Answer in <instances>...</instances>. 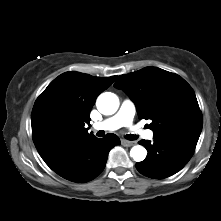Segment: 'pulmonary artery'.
Segmentation results:
<instances>
[{"label":"pulmonary artery","mask_w":221,"mask_h":221,"mask_svg":"<svg viewBox=\"0 0 221 221\" xmlns=\"http://www.w3.org/2000/svg\"><path fill=\"white\" fill-rule=\"evenodd\" d=\"M135 111L134 103L131 100L126 99L122 102L119 111L114 116L102 122L95 123L93 127L96 130H116L121 127H129L134 134L140 135L145 139H152V131L141 130L132 125Z\"/></svg>","instance_id":"obj_1"}]
</instances>
